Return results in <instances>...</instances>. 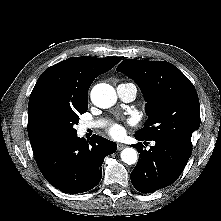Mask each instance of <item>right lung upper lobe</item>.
<instances>
[{
  "instance_id": "right-lung-upper-lobe-1",
  "label": "right lung upper lobe",
  "mask_w": 221,
  "mask_h": 221,
  "mask_svg": "<svg viewBox=\"0 0 221 221\" xmlns=\"http://www.w3.org/2000/svg\"><path fill=\"white\" fill-rule=\"evenodd\" d=\"M120 60V57H74L49 67L41 74L28 104L27 128L33 151L53 141L42 126L43 107L48 103H86L94 79L112 69Z\"/></svg>"
}]
</instances>
